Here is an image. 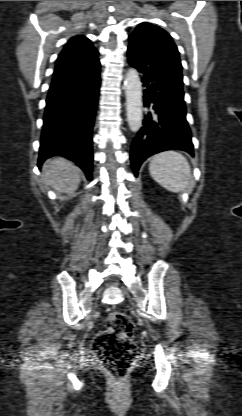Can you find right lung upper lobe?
I'll list each match as a JSON object with an SVG mask.
<instances>
[{"instance_id": "obj_1", "label": "right lung upper lobe", "mask_w": 242, "mask_h": 416, "mask_svg": "<svg viewBox=\"0 0 242 416\" xmlns=\"http://www.w3.org/2000/svg\"><path fill=\"white\" fill-rule=\"evenodd\" d=\"M98 51L83 35L72 37L59 54L52 83L83 78L100 68Z\"/></svg>"}]
</instances>
